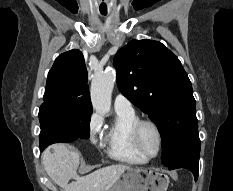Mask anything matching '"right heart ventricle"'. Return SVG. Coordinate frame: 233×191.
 I'll return each instance as SVG.
<instances>
[{
    "label": "right heart ventricle",
    "mask_w": 233,
    "mask_h": 191,
    "mask_svg": "<svg viewBox=\"0 0 233 191\" xmlns=\"http://www.w3.org/2000/svg\"><path fill=\"white\" fill-rule=\"evenodd\" d=\"M139 120L134 111H116V118L106 133L107 154L116 161L138 164L147 159L135 148L131 129Z\"/></svg>",
    "instance_id": "obj_1"
}]
</instances>
